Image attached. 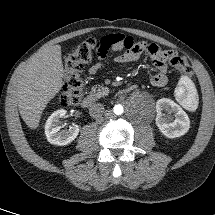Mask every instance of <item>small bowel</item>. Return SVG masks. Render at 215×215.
Listing matches in <instances>:
<instances>
[{"mask_svg":"<svg viewBox=\"0 0 215 215\" xmlns=\"http://www.w3.org/2000/svg\"><path fill=\"white\" fill-rule=\"evenodd\" d=\"M97 62L88 69L90 78L94 77L103 67L104 60L108 51H122L121 54L114 58L116 63H130L138 60L143 54H148L156 69L150 83L158 88L164 87L168 82V65L169 56L174 54L173 51L163 50L154 43H145L135 41L131 36L123 34H109L103 36L98 42Z\"/></svg>","mask_w":215,"mask_h":215,"instance_id":"small-bowel-1","label":"small bowel"}]
</instances>
